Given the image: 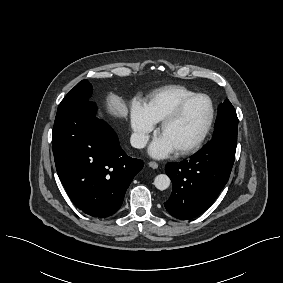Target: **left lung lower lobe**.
Wrapping results in <instances>:
<instances>
[{"label": "left lung lower lobe", "mask_w": 283, "mask_h": 283, "mask_svg": "<svg viewBox=\"0 0 283 283\" xmlns=\"http://www.w3.org/2000/svg\"><path fill=\"white\" fill-rule=\"evenodd\" d=\"M235 151L221 144H207L189 160L167 164L173 190L164 203L178 219H191L206 211L226 185Z\"/></svg>", "instance_id": "1"}]
</instances>
